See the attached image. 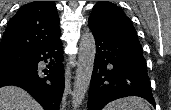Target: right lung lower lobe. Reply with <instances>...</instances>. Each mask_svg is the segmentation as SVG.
<instances>
[{"label":"right lung lower lobe","instance_id":"right-lung-lower-lobe-1","mask_svg":"<svg viewBox=\"0 0 171 110\" xmlns=\"http://www.w3.org/2000/svg\"><path fill=\"white\" fill-rule=\"evenodd\" d=\"M28 63L0 71V87L15 85L25 89L45 110H59L64 91L63 48L60 39L30 52ZM48 63L42 67L39 62Z\"/></svg>","mask_w":171,"mask_h":110}]
</instances>
